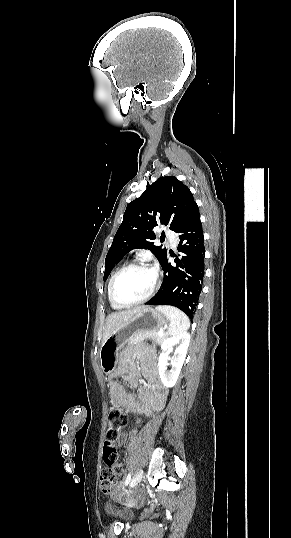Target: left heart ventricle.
Returning <instances> with one entry per match:
<instances>
[{"instance_id":"obj_1","label":"left heart ventricle","mask_w":291,"mask_h":538,"mask_svg":"<svg viewBox=\"0 0 291 538\" xmlns=\"http://www.w3.org/2000/svg\"><path fill=\"white\" fill-rule=\"evenodd\" d=\"M154 281L152 272L134 269L124 273L117 281L115 295L119 302H131L144 297Z\"/></svg>"}]
</instances>
